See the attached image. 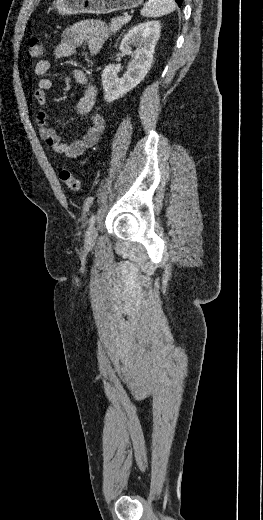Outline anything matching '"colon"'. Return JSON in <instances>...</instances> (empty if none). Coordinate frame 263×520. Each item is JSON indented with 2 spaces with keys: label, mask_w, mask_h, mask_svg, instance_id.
Masks as SVG:
<instances>
[{
  "label": "colon",
  "mask_w": 263,
  "mask_h": 520,
  "mask_svg": "<svg viewBox=\"0 0 263 520\" xmlns=\"http://www.w3.org/2000/svg\"><path fill=\"white\" fill-rule=\"evenodd\" d=\"M43 53L44 49L42 41L37 37L30 39L27 50L28 59H39L43 56ZM58 176L68 190L72 192L80 190V181L69 169L60 167L58 169Z\"/></svg>",
  "instance_id": "1"
}]
</instances>
